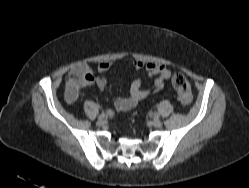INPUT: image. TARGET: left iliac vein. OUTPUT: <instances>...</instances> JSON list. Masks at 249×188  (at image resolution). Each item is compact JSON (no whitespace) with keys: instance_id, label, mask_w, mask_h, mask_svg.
Listing matches in <instances>:
<instances>
[{"instance_id":"left-iliac-vein-1","label":"left iliac vein","mask_w":249,"mask_h":188,"mask_svg":"<svg viewBox=\"0 0 249 188\" xmlns=\"http://www.w3.org/2000/svg\"><path fill=\"white\" fill-rule=\"evenodd\" d=\"M162 121H160L159 119L155 118L153 121H152V125L154 127H157V128H160L162 126Z\"/></svg>"}]
</instances>
